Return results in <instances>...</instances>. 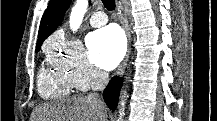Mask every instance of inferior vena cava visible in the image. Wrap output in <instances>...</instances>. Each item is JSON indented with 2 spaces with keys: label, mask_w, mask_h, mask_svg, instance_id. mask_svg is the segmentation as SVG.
<instances>
[{
  "label": "inferior vena cava",
  "mask_w": 217,
  "mask_h": 121,
  "mask_svg": "<svg viewBox=\"0 0 217 121\" xmlns=\"http://www.w3.org/2000/svg\"><path fill=\"white\" fill-rule=\"evenodd\" d=\"M108 79V73L104 71H97L92 81V89L94 93L89 94L88 97L97 100L99 103H103L99 99L97 91H102L106 87Z\"/></svg>",
  "instance_id": "inferior-vena-cava-1"
}]
</instances>
